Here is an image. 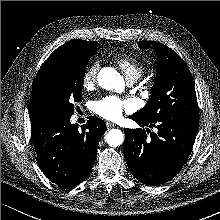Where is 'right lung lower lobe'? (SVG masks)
<instances>
[{"label": "right lung lower lobe", "instance_id": "right-lung-lower-lobe-1", "mask_svg": "<svg viewBox=\"0 0 220 220\" xmlns=\"http://www.w3.org/2000/svg\"><path fill=\"white\" fill-rule=\"evenodd\" d=\"M71 116L45 114L31 120V138L37 161L46 177L62 188L81 183L91 172L106 126L91 116L78 131Z\"/></svg>", "mask_w": 220, "mask_h": 220}]
</instances>
